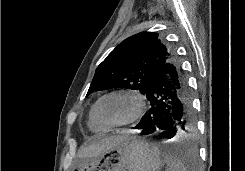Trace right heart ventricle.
I'll return each instance as SVG.
<instances>
[{
    "label": "right heart ventricle",
    "instance_id": "1",
    "mask_svg": "<svg viewBox=\"0 0 245 171\" xmlns=\"http://www.w3.org/2000/svg\"><path fill=\"white\" fill-rule=\"evenodd\" d=\"M94 107L95 104L91 107L90 113H89V119H88V125L90 127L91 130H93L94 132H106L108 130L107 127H105L104 125H102L95 117V113H94Z\"/></svg>",
    "mask_w": 245,
    "mask_h": 171
}]
</instances>
